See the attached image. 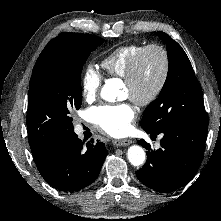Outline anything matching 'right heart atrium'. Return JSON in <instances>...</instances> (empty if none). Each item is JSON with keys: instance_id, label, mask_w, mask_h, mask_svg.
Masks as SVG:
<instances>
[{"instance_id": "1", "label": "right heart atrium", "mask_w": 221, "mask_h": 221, "mask_svg": "<svg viewBox=\"0 0 221 221\" xmlns=\"http://www.w3.org/2000/svg\"><path fill=\"white\" fill-rule=\"evenodd\" d=\"M102 85V75L92 65H87L81 77V92L83 98L91 102L99 94Z\"/></svg>"}]
</instances>
